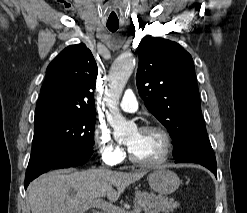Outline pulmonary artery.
<instances>
[{"label":"pulmonary artery","mask_w":247,"mask_h":213,"mask_svg":"<svg viewBox=\"0 0 247 213\" xmlns=\"http://www.w3.org/2000/svg\"><path fill=\"white\" fill-rule=\"evenodd\" d=\"M120 107L126 112H135L138 109V102L131 89L126 90L123 99L120 102Z\"/></svg>","instance_id":"obj_1"}]
</instances>
